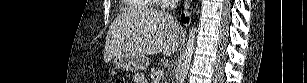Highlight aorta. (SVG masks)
I'll return each instance as SVG.
<instances>
[{"instance_id": "obj_1", "label": "aorta", "mask_w": 307, "mask_h": 83, "mask_svg": "<svg viewBox=\"0 0 307 83\" xmlns=\"http://www.w3.org/2000/svg\"><path fill=\"white\" fill-rule=\"evenodd\" d=\"M195 38H196V28L195 24L192 25V28L188 34V41L186 50L182 56V62L179 65V73L177 77L178 83H184L189 69L191 67V61L195 50Z\"/></svg>"}]
</instances>
